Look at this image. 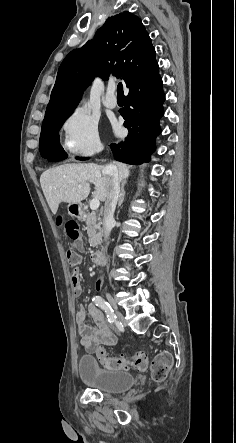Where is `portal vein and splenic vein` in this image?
I'll list each match as a JSON object with an SVG mask.
<instances>
[{"instance_id":"1","label":"portal vein and splenic vein","mask_w":236,"mask_h":443,"mask_svg":"<svg viewBox=\"0 0 236 443\" xmlns=\"http://www.w3.org/2000/svg\"><path fill=\"white\" fill-rule=\"evenodd\" d=\"M81 187H82V186L79 185V188H81ZM99 206H100V201H99L98 199H93V200L90 202V209H91L92 211L97 210V209L99 208Z\"/></svg>"}]
</instances>
